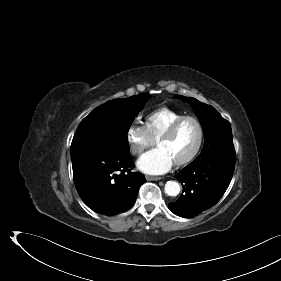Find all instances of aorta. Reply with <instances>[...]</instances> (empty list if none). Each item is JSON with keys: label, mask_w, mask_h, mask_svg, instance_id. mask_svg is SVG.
<instances>
[{"label": "aorta", "mask_w": 281, "mask_h": 281, "mask_svg": "<svg viewBox=\"0 0 281 281\" xmlns=\"http://www.w3.org/2000/svg\"><path fill=\"white\" fill-rule=\"evenodd\" d=\"M180 192V185L176 181H168L165 184V193L169 196H177Z\"/></svg>", "instance_id": "obj_1"}]
</instances>
